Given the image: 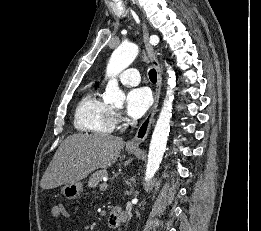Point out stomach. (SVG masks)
I'll use <instances>...</instances> for the list:
<instances>
[{"label":"stomach","mask_w":261,"mask_h":231,"mask_svg":"<svg viewBox=\"0 0 261 231\" xmlns=\"http://www.w3.org/2000/svg\"><path fill=\"white\" fill-rule=\"evenodd\" d=\"M136 149L128 150L129 153L133 154ZM83 191V183L80 181L74 183H67L62 188V194L68 199L73 200L78 198Z\"/></svg>","instance_id":"1"}]
</instances>
